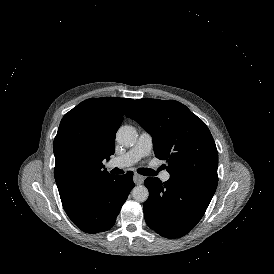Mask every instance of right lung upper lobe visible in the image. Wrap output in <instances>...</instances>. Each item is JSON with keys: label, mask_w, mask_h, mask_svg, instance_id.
Wrapping results in <instances>:
<instances>
[{"label": "right lung upper lobe", "mask_w": 274, "mask_h": 274, "mask_svg": "<svg viewBox=\"0 0 274 274\" xmlns=\"http://www.w3.org/2000/svg\"><path fill=\"white\" fill-rule=\"evenodd\" d=\"M133 99L90 98L66 113L53 149L54 176L62 203L109 176L102 163L115 152V135Z\"/></svg>", "instance_id": "cb5924a9"}]
</instances>
